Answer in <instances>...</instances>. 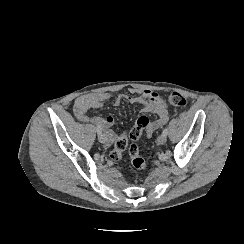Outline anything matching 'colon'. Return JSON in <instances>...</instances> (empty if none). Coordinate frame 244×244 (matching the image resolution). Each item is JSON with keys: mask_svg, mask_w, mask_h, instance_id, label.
Here are the masks:
<instances>
[{"mask_svg": "<svg viewBox=\"0 0 244 244\" xmlns=\"http://www.w3.org/2000/svg\"><path fill=\"white\" fill-rule=\"evenodd\" d=\"M164 98L169 105L179 108L185 107L188 103L187 98L179 92L165 93ZM149 122L150 119L146 115H141L137 119L129 132V137L133 142L137 141L142 136L143 131L148 126ZM126 150L128 151L130 159V165L128 166L130 172L146 168L147 162L142 157L139 146L135 143L130 144L127 134L121 135L116 139L112 150L109 152L108 160L113 163L121 161Z\"/></svg>", "mask_w": 244, "mask_h": 244, "instance_id": "obj_1", "label": "colon"}]
</instances>
